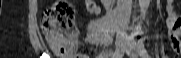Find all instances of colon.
Wrapping results in <instances>:
<instances>
[{"instance_id": "5ec220e1", "label": "colon", "mask_w": 181, "mask_h": 58, "mask_svg": "<svg viewBox=\"0 0 181 58\" xmlns=\"http://www.w3.org/2000/svg\"><path fill=\"white\" fill-rule=\"evenodd\" d=\"M41 29L49 46L56 54L85 58L84 55L75 52L78 29L74 8L70 1L59 0L47 8L41 21Z\"/></svg>"}]
</instances>
